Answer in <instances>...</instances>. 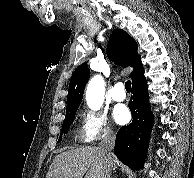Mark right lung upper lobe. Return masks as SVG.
Returning <instances> with one entry per match:
<instances>
[{"label":"right lung upper lobe","instance_id":"obj_1","mask_svg":"<svg viewBox=\"0 0 194 178\" xmlns=\"http://www.w3.org/2000/svg\"><path fill=\"white\" fill-rule=\"evenodd\" d=\"M137 49L136 41L127 32L122 29L113 31L108 43V57L122 67L134 68L129 75L132 83L144 78V69ZM89 77L90 71L86 62L74 71L69 84L66 113L77 110Z\"/></svg>","mask_w":194,"mask_h":178}]
</instances>
